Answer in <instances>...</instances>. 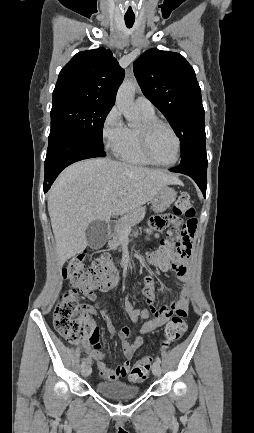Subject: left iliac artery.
<instances>
[{
	"mask_svg": "<svg viewBox=\"0 0 254 433\" xmlns=\"http://www.w3.org/2000/svg\"><path fill=\"white\" fill-rule=\"evenodd\" d=\"M156 362H158L159 364L161 363V359H160V357H156Z\"/></svg>",
	"mask_w": 254,
	"mask_h": 433,
	"instance_id": "1",
	"label": "left iliac artery"
}]
</instances>
